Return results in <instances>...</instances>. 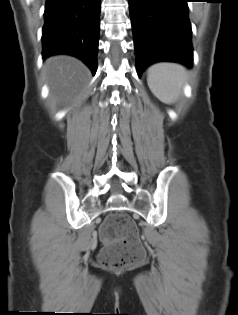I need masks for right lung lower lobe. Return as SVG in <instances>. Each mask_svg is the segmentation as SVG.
<instances>
[{
  "label": "right lung lower lobe",
  "mask_w": 238,
  "mask_h": 315,
  "mask_svg": "<svg viewBox=\"0 0 238 315\" xmlns=\"http://www.w3.org/2000/svg\"><path fill=\"white\" fill-rule=\"evenodd\" d=\"M101 0H46L43 58L69 54L97 69Z\"/></svg>",
  "instance_id": "right-lung-lower-lobe-1"
}]
</instances>
